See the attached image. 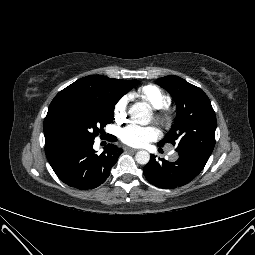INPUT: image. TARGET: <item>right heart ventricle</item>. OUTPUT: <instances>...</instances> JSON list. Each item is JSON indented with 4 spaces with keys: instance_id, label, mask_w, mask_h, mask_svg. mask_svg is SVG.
Masks as SVG:
<instances>
[{
    "instance_id": "1",
    "label": "right heart ventricle",
    "mask_w": 255,
    "mask_h": 255,
    "mask_svg": "<svg viewBox=\"0 0 255 255\" xmlns=\"http://www.w3.org/2000/svg\"><path fill=\"white\" fill-rule=\"evenodd\" d=\"M134 96L148 103L154 109H162L170 103L169 96L158 86L147 84L140 87Z\"/></svg>"
}]
</instances>
